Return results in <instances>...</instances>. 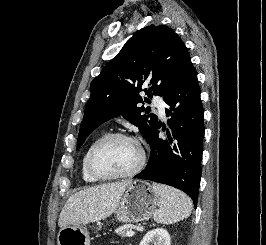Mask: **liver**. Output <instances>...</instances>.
<instances>
[{
    "instance_id": "1",
    "label": "liver",
    "mask_w": 266,
    "mask_h": 245,
    "mask_svg": "<svg viewBox=\"0 0 266 245\" xmlns=\"http://www.w3.org/2000/svg\"><path fill=\"white\" fill-rule=\"evenodd\" d=\"M132 181L122 183H107L88 187L84 191L69 197L63 211L60 213L59 227L68 225H88L110 217L116 211L122 195Z\"/></svg>"
}]
</instances>
